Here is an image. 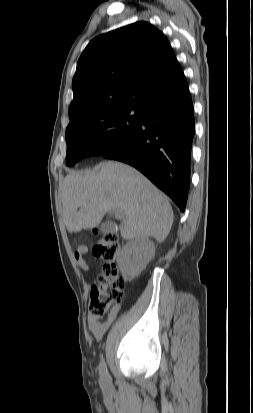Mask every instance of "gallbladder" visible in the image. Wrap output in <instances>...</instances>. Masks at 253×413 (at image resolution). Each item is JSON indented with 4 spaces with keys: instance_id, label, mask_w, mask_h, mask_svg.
Returning a JSON list of instances; mask_svg holds the SVG:
<instances>
[{
    "instance_id": "gallbladder-1",
    "label": "gallbladder",
    "mask_w": 253,
    "mask_h": 413,
    "mask_svg": "<svg viewBox=\"0 0 253 413\" xmlns=\"http://www.w3.org/2000/svg\"><path fill=\"white\" fill-rule=\"evenodd\" d=\"M115 230V224L111 221H106L101 224V231L103 233L113 232Z\"/></svg>"
}]
</instances>
